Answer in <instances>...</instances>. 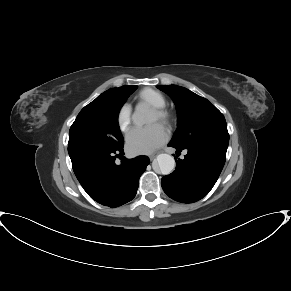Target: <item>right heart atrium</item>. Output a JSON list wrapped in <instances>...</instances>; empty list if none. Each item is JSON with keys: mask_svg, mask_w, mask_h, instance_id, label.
Listing matches in <instances>:
<instances>
[{"mask_svg": "<svg viewBox=\"0 0 291 291\" xmlns=\"http://www.w3.org/2000/svg\"><path fill=\"white\" fill-rule=\"evenodd\" d=\"M131 107L127 104L123 105L117 116V123L122 132H127L131 123Z\"/></svg>", "mask_w": 291, "mask_h": 291, "instance_id": "right-heart-atrium-1", "label": "right heart atrium"}]
</instances>
